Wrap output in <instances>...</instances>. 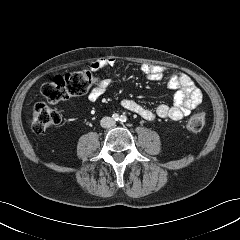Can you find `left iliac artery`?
<instances>
[{
	"mask_svg": "<svg viewBox=\"0 0 240 240\" xmlns=\"http://www.w3.org/2000/svg\"><path fill=\"white\" fill-rule=\"evenodd\" d=\"M120 121L121 122H126L127 121V117L125 115H121L120 116Z\"/></svg>",
	"mask_w": 240,
	"mask_h": 240,
	"instance_id": "1",
	"label": "left iliac artery"
}]
</instances>
